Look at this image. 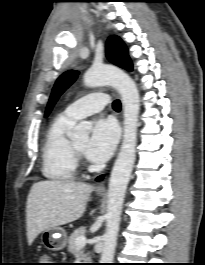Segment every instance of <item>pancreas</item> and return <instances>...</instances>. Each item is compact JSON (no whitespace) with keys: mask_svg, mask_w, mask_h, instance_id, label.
<instances>
[{"mask_svg":"<svg viewBox=\"0 0 205 265\" xmlns=\"http://www.w3.org/2000/svg\"><path fill=\"white\" fill-rule=\"evenodd\" d=\"M85 235V228L81 227L74 230L68 239V251L76 257H79L80 260L87 262L91 258L88 256V253H85L83 249L77 250L75 240L78 236Z\"/></svg>","mask_w":205,"mask_h":265,"instance_id":"cf45deb5","label":"pancreas"}]
</instances>
